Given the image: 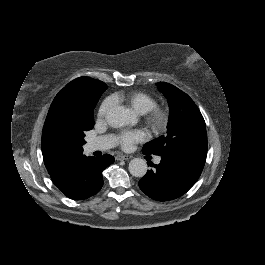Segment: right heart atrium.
Segmentation results:
<instances>
[{
    "mask_svg": "<svg viewBox=\"0 0 265 265\" xmlns=\"http://www.w3.org/2000/svg\"><path fill=\"white\" fill-rule=\"evenodd\" d=\"M115 103L111 98L104 99L97 111V118L98 120H105L109 115L110 111L114 108Z\"/></svg>",
    "mask_w": 265,
    "mask_h": 265,
    "instance_id": "right-heart-atrium-1",
    "label": "right heart atrium"
}]
</instances>
